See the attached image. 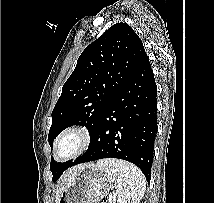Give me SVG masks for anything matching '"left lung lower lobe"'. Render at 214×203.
Instances as JSON below:
<instances>
[{
  "mask_svg": "<svg viewBox=\"0 0 214 203\" xmlns=\"http://www.w3.org/2000/svg\"><path fill=\"white\" fill-rule=\"evenodd\" d=\"M156 114L157 86L145 52L100 116L88 150L69 167L118 158L138 166L150 182Z\"/></svg>",
  "mask_w": 214,
  "mask_h": 203,
  "instance_id": "0a47b994",
  "label": "left lung lower lobe"
}]
</instances>
